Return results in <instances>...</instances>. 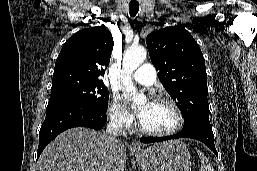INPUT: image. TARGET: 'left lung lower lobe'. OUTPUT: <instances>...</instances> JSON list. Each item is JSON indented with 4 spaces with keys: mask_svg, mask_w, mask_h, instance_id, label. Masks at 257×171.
Listing matches in <instances>:
<instances>
[{
    "mask_svg": "<svg viewBox=\"0 0 257 171\" xmlns=\"http://www.w3.org/2000/svg\"><path fill=\"white\" fill-rule=\"evenodd\" d=\"M178 138H192L203 142L207 147H209L216 155L217 151L214 145V135L211 126L204 124H193L184 127L179 133L166 136V137H143L140 139L142 143H154L162 142L171 139Z\"/></svg>",
    "mask_w": 257,
    "mask_h": 171,
    "instance_id": "0a47b994",
    "label": "left lung lower lobe"
}]
</instances>
